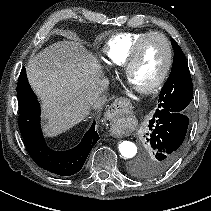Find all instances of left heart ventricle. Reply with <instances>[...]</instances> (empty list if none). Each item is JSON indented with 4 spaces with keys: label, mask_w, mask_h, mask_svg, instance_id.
<instances>
[{
    "label": "left heart ventricle",
    "mask_w": 211,
    "mask_h": 211,
    "mask_svg": "<svg viewBox=\"0 0 211 211\" xmlns=\"http://www.w3.org/2000/svg\"><path fill=\"white\" fill-rule=\"evenodd\" d=\"M166 61L167 49L164 41L158 36L148 38L144 42L139 58L130 73V84L134 88L150 86L161 74Z\"/></svg>",
    "instance_id": "left-heart-ventricle-1"
}]
</instances>
